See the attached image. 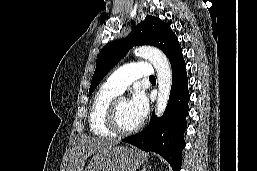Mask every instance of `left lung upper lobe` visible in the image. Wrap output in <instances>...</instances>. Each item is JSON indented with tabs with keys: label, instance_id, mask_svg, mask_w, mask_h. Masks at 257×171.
Returning <instances> with one entry per match:
<instances>
[{
	"label": "left lung upper lobe",
	"instance_id": "5c2ea615",
	"mask_svg": "<svg viewBox=\"0 0 257 171\" xmlns=\"http://www.w3.org/2000/svg\"><path fill=\"white\" fill-rule=\"evenodd\" d=\"M136 45H153L161 49L169 58L180 48L178 39L171 28L161 19L147 16L130 34L121 40L113 41L103 47L96 61L89 96L102 78Z\"/></svg>",
	"mask_w": 257,
	"mask_h": 171
}]
</instances>
